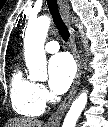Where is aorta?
<instances>
[{
    "label": "aorta",
    "instance_id": "aorta-1",
    "mask_svg": "<svg viewBox=\"0 0 108 127\" xmlns=\"http://www.w3.org/2000/svg\"><path fill=\"white\" fill-rule=\"evenodd\" d=\"M50 27L46 15L29 21L24 38V57L32 81L47 79V61L44 50L45 39ZM79 29H82L79 26ZM83 34V31H82ZM87 92H82L72 103L62 127H75L76 122L87 104Z\"/></svg>",
    "mask_w": 108,
    "mask_h": 127
}]
</instances>
